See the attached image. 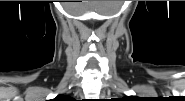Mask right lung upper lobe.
Here are the masks:
<instances>
[{
	"label": "right lung upper lobe",
	"instance_id": "right-lung-upper-lobe-1",
	"mask_svg": "<svg viewBox=\"0 0 185 101\" xmlns=\"http://www.w3.org/2000/svg\"><path fill=\"white\" fill-rule=\"evenodd\" d=\"M55 99H57L58 101H66V99H68V96L59 95Z\"/></svg>",
	"mask_w": 185,
	"mask_h": 101
}]
</instances>
